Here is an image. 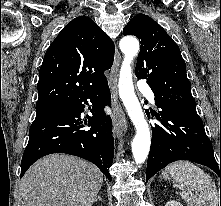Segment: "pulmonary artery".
<instances>
[{
	"label": "pulmonary artery",
	"mask_w": 221,
	"mask_h": 206,
	"mask_svg": "<svg viewBox=\"0 0 221 206\" xmlns=\"http://www.w3.org/2000/svg\"><path fill=\"white\" fill-rule=\"evenodd\" d=\"M138 88L144 92L146 97L152 104H155V96L153 91L150 89L149 85L143 81L138 82Z\"/></svg>",
	"instance_id": "e3ab8cb5"
}]
</instances>
